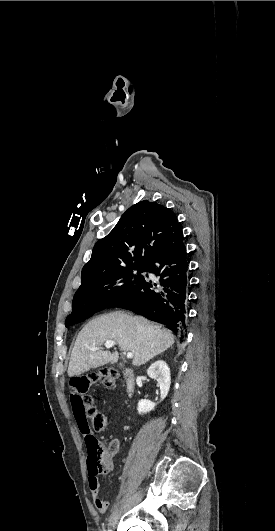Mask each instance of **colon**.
Masks as SVG:
<instances>
[{"label": "colon", "instance_id": "5ec220e1", "mask_svg": "<svg viewBox=\"0 0 275 531\" xmlns=\"http://www.w3.org/2000/svg\"><path fill=\"white\" fill-rule=\"evenodd\" d=\"M92 380L93 382H99L104 386H111L117 382V375L108 369H101L99 372H93L90 376H83L80 380L74 381L75 387H80L85 397V413L84 416L86 420H89V417L92 418V425L96 432L101 433V429H104V433L107 432L109 428V421L107 415L101 411L94 408L92 412V402L95 400L93 395H89L92 392ZM92 413V414H91ZM118 448V442L113 441L105 445L103 449V454L108 457V459H103L98 466L97 470L105 469L106 472L109 471L110 467L113 465L112 456L116 453Z\"/></svg>", "mask_w": 275, "mask_h": 531}]
</instances>
